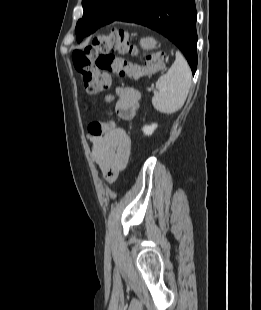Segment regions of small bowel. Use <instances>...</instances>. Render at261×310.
Masks as SVG:
<instances>
[{
    "mask_svg": "<svg viewBox=\"0 0 261 310\" xmlns=\"http://www.w3.org/2000/svg\"><path fill=\"white\" fill-rule=\"evenodd\" d=\"M118 99L115 111L123 120L133 119L140 106V92L132 87L121 86L116 89ZM113 95L105 96L106 102L114 101ZM108 128L102 135H92L88 138L92 144V158L100 167L107 181L112 182L126 167L131 154V139L127 132L117 127L114 122H107Z\"/></svg>",
    "mask_w": 261,
    "mask_h": 310,
    "instance_id": "1",
    "label": "small bowel"
}]
</instances>
